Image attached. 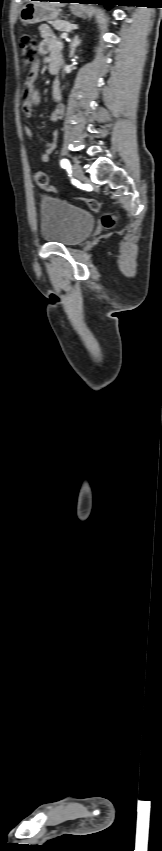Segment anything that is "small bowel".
<instances>
[{
    "label": "small bowel",
    "mask_w": 162,
    "mask_h": 851,
    "mask_svg": "<svg viewBox=\"0 0 162 851\" xmlns=\"http://www.w3.org/2000/svg\"><path fill=\"white\" fill-rule=\"evenodd\" d=\"M40 34L42 40L38 45V51L41 55H47V60L50 61L52 59L57 60L61 63L62 59V45L57 39L54 32L47 25L40 26ZM38 63L36 62L33 68L29 71L23 90V100H22V110L26 118H31L33 113V108L40 103V96L38 91L35 89L34 83L38 76ZM53 97L56 101L61 100V91L59 88L58 82H56L53 86ZM64 114V106L59 103L54 110V112L49 117L50 123H55L62 119ZM25 135L29 139H33V131L29 125H24L23 127ZM58 138V132L55 131L53 133V138L51 141L47 142L45 145V149L42 152L40 159L41 162L47 163L50 160V155L56 148Z\"/></svg>",
    "instance_id": "obj_1"
}]
</instances>
